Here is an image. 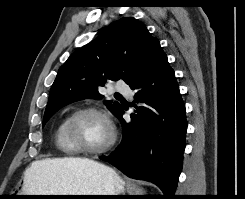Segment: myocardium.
I'll list each match as a JSON object with an SVG mask.
<instances>
[{
	"label": "myocardium",
	"instance_id": "myocardium-1",
	"mask_svg": "<svg viewBox=\"0 0 245 199\" xmlns=\"http://www.w3.org/2000/svg\"><path fill=\"white\" fill-rule=\"evenodd\" d=\"M93 114L102 117L108 124L110 130V138L108 142L99 148H89L78 142L73 136V127L78 118L83 115ZM65 135L71 146L77 153H83L90 156L102 155L113 148L117 140V132L111 115L104 109L98 107H85L74 111L66 120Z\"/></svg>",
	"mask_w": 245,
	"mask_h": 199
}]
</instances>
